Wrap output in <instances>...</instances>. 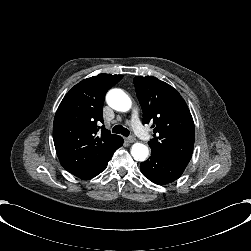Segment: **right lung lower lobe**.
<instances>
[{"instance_id":"98d812e1","label":"right lung lower lobe","mask_w":251,"mask_h":251,"mask_svg":"<svg viewBox=\"0 0 251 251\" xmlns=\"http://www.w3.org/2000/svg\"><path fill=\"white\" fill-rule=\"evenodd\" d=\"M104 169H105V168H104ZM104 169H103V170H104ZM103 170H102V171H103ZM102 171H100L99 173H101ZM99 173H98V174H99ZM98 174H96L95 176H97ZM95 176H93V177H95ZM93 177H91V178H93ZM91 178H90V179H91Z\"/></svg>"}]
</instances>
